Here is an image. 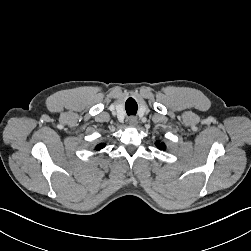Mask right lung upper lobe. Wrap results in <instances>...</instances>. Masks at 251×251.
I'll return each instance as SVG.
<instances>
[{
	"instance_id": "obj_1",
	"label": "right lung upper lobe",
	"mask_w": 251,
	"mask_h": 251,
	"mask_svg": "<svg viewBox=\"0 0 251 251\" xmlns=\"http://www.w3.org/2000/svg\"><path fill=\"white\" fill-rule=\"evenodd\" d=\"M104 147H105V144H104V143L98 144V145L96 146V150H100V149H102V148H104Z\"/></svg>"
}]
</instances>
